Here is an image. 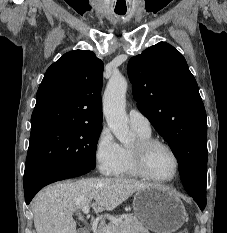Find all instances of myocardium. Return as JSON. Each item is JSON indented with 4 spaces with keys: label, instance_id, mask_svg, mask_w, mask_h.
<instances>
[{
    "label": "myocardium",
    "instance_id": "f54148a6",
    "mask_svg": "<svg viewBox=\"0 0 227 233\" xmlns=\"http://www.w3.org/2000/svg\"><path fill=\"white\" fill-rule=\"evenodd\" d=\"M156 147H163L167 149L174 158L175 161V171L174 174L169 178H158L151 174L147 166V158L149 153ZM133 164L138 172V174L148 180L159 182V183H167L175 180L180 172V159L177 155L176 151L173 149L171 145L168 143L157 140V139H145L139 140L131 149Z\"/></svg>",
    "mask_w": 227,
    "mask_h": 233
}]
</instances>
